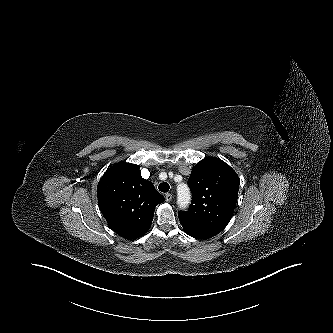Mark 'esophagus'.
Listing matches in <instances>:
<instances>
[{"label": "esophagus", "instance_id": "esophagus-1", "mask_svg": "<svg viewBox=\"0 0 333 333\" xmlns=\"http://www.w3.org/2000/svg\"><path fill=\"white\" fill-rule=\"evenodd\" d=\"M172 198H173V196H172V194H170V193H167V194L165 195V200H166L167 202H170V201L172 200Z\"/></svg>", "mask_w": 333, "mask_h": 333}]
</instances>
